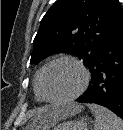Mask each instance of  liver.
Returning a JSON list of instances; mask_svg holds the SVG:
<instances>
[{"label": "liver", "instance_id": "liver-1", "mask_svg": "<svg viewBox=\"0 0 123 130\" xmlns=\"http://www.w3.org/2000/svg\"><path fill=\"white\" fill-rule=\"evenodd\" d=\"M82 106L70 104L64 107L44 106L38 109L28 128L33 130H49L60 120L81 112Z\"/></svg>", "mask_w": 123, "mask_h": 130}]
</instances>
